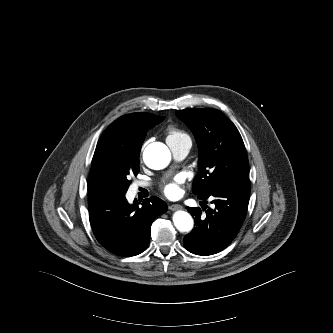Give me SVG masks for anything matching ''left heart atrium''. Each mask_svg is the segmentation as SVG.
Listing matches in <instances>:
<instances>
[{
	"mask_svg": "<svg viewBox=\"0 0 333 333\" xmlns=\"http://www.w3.org/2000/svg\"><path fill=\"white\" fill-rule=\"evenodd\" d=\"M183 183V178L182 176H177L173 181L168 182L167 184H165L164 186V193L168 196V197H177L181 194L182 190H181V184Z\"/></svg>",
	"mask_w": 333,
	"mask_h": 333,
	"instance_id": "1",
	"label": "left heart atrium"
}]
</instances>
